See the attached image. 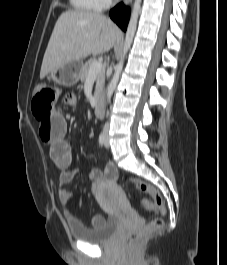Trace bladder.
<instances>
[{
  "mask_svg": "<svg viewBox=\"0 0 227 265\" xmlns=\"http://www.w3.org/2000/svg\"><path fill=\"white\" fill-rule=\"evenodd\" d=\"M113 189L119 197L124 196L123 191L119 186H113ZM119 223V218L112 215L97 226L86 227L78 223L69 222L68 228L73 239L92 244H99L107 241L114 235L119 227Z\"/></svg>",
  "mask_w": 227,
  "mask_h": 265,
  "instance_id": "31cf9c89",
  "label": "bladder"
}]
</instances>
